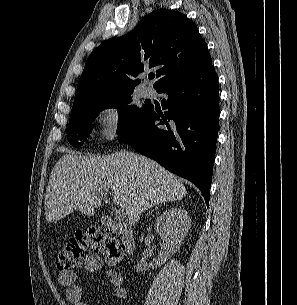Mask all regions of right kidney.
I'll return each instance as SVG.
<instances>
[{"label": "right kidney", "mask_w": 297, "mask_h": 305, "mask_svg": "<svg viewBox=\"0 0 297 305\" xmlns=\"http://www.w3.org/2000/svg\"><path fill=\"white\" fill-rule=\"evenodd\" d=\"M191 226V219L182 208H171L163 212L156 220L155 231L162 239L161 251L154 263L147 264L144 259L137 264L136 271L157 268L180 248Z\"/></svg>", "instance_id": "obj_1"}]
</instances>
